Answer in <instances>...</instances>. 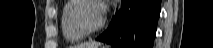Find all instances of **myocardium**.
Here are the masks:
<instances>
[{
	"label": "myocardium",
	"instance_id": "obj_1",
	"mask_svg": "<svg viewBox=\"0 0 213 48\" xmlns=\"http://www.w3.org/2000/svg\"><path fill=\"white\" fill-rule=\"evenodd\" d=\"M86 3H95L99 6H101L100 2L97 0H76L75 4L73 5L71 12H70V19H71L73 25L84 36L95 34V33L99 32L104 27L105 21H106L105 15L103 14V11H102V16H101V20H100L99 24L94 28L86 27L78 16V11Z\"/></svg>",
	"mask_w": 213,
	"mask_h": 48
}]
</instances>
